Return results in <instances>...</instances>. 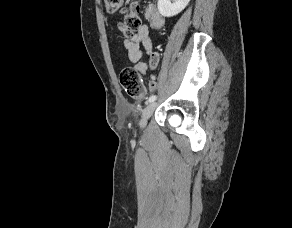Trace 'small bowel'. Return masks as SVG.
Wrapping results in <instances>:
<instances>
[{
    "label": "small bowel",
    "mask_w": 292,
    "mask_h": 228,
    "mask_svg": "<svg viewBox=\"0 0 292 228\" xmlns=\"http://www.w3.org/2000/svg\"><path fill=\"white\" fill-rule=\"evenodd\" d=\"M124 46L127 49V55L130 62L135 64V68L140 74H145L148 69H155L158 63L157 55L152 53V40L150 29L147 25L142 27L133 35L127 37L124 41ZM150 56L149 64L140 61L143 54ZM157 87V82L153 78L149 84L150 91H154Z\"/></svg>",
    "instance_id": "c3829d8e"
}]
</instances>
